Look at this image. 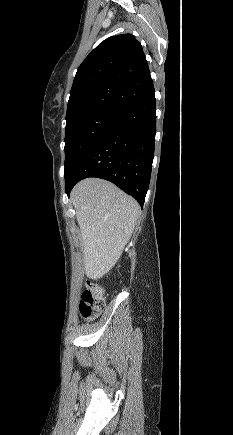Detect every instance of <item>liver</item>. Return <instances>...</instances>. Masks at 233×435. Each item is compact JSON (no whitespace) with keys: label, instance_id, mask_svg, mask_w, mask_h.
<instances>
[{"label":"liver","instance_id":"6515ba94","mask_svg":"<svg viewBox=\"0 0 233 435\" xmlns=\"http://www.w3.org/2000/svg\"><path fill=\"white\" fill-rule=\"evenodd\" d=\"M71 200L83 241L85 274L91 279L101 278L120 259L140 207L114 184L98 178L79 182Z\"/></svg>","mask_w":233,"mask_h":435}]
</instances>
